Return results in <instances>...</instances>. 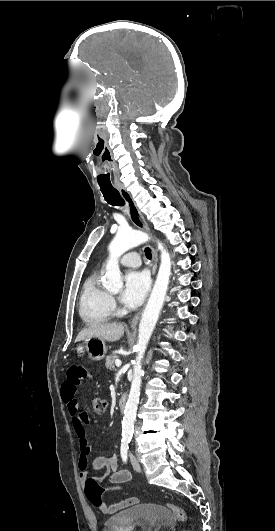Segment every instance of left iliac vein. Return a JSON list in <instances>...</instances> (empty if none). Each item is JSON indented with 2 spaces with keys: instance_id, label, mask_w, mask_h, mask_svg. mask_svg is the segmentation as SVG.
I'll return each instance as SVG.
<instances>
[{
  "instance_id": "1",
  "label": "left iliac vein",
  "mask_w": 275,
  "mask_h": 531,
  "mask_svg": "<svg viewBox=\"0 0 275 531\" xmlns=\"http://www.w3.org/2000/svg\"><path fill=\"white\" fill-rule=\"evenodd\" d=\"M129 458H130V461H131V464H132V467L140 472L141 471V466H140V463L138 461V459L133 455V454H129Z\"/></svg>"
}]
</instances>
